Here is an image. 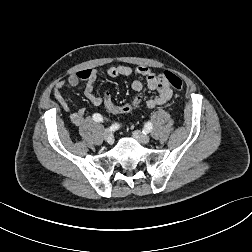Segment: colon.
I'll use <instances>...</instances> for the list:
<instances>
[{
	"label": "colon",
	"mask_w": 252,
	"mask_h": 252,
	"mask_svg": "<svg viewBox=\"0 0 252 252\" xmlns=\"http://www.w3.org/2000/svg\"><path fill=\"white\" fill-rule=\"evenodd\" d=\"M163 78L167 81V83L174 88L175 90H180L183 86V82L179 76L172 72H164ZM103 108L111 114L117 115H127L136 111L142 102L141 95H134L130 100L126 102H116L108 91H104L101 97Z\"/></svg>",
	"instance_id": "1"
}]
</instances>
